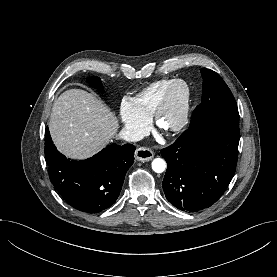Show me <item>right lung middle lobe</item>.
Listing matches in <instances>:
<instances>
[{
    "label": "right lung middle lobe",
    "mask_w": 277,
    "mask_h": 277,
    "mask_svg": "<svg viewBox=\"0 0 277 277\" xmlns=\"http://www.w3.org/2000/svg\"><path fill=\"white\" fill-rule=\"evenodd\" d=\"M88 82H90V84L95 88H101V80L96 76L88 78Z\"/></svg>",
    "instance_id": "obj_1"
}]
</instances>
